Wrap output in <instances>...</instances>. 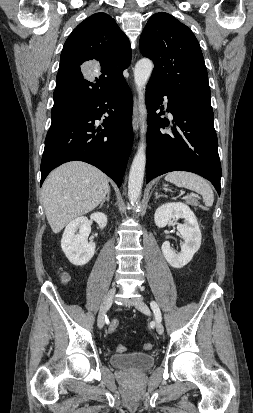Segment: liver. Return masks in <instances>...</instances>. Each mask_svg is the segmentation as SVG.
Wrapping results in <instances>:
<instances>
[{
  "mask_svg": "<svg viewBox=\"0 0 253 413\" xmlns=\"http://www.w3.org/2000/svg\"><path fill=\"white\" fill-rule=\"evenodd\" d=\"M109 191L107 176L85 162H68L53 170L42 186V203L52 231L57 234L94 210Z\"/></svg>",
  "mask_w": 253,
  "mask_h": 413,
  "instance_id": "obj_1",
  "label": "liver"
}]
</instances>
